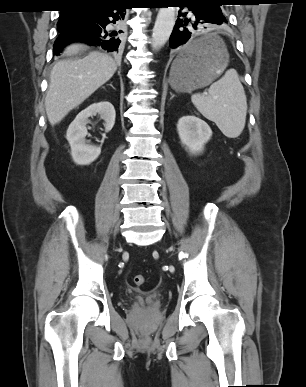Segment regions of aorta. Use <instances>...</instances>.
<instances>
[{"instance_id":"aorta-1","label":"aorta","mask_w":306,"mask_h":387,"mask_svg":"<svg viewBox=\"0 0 306 387\" xmlns=\"http://www.w3.org/2000/svg\"><path fill=\"white\" fill-rule=\"evenodd\" d=\"M175 24V7H160L152 32V48L158 50L168 41Z\"/></svg>"}]
</instances>
